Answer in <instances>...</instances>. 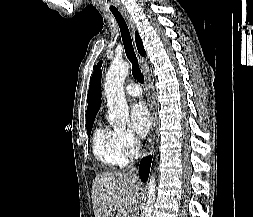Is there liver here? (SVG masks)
Wrapping results in <instances>:
<instances>
[{
    "label": "liver",
    "instance_id": "6515ba94",
    "mask_svg": "<svg viewBox=\"0 0 253 217\" xmlns=\"http://www.w3.org/2000/svg\"><path fill=\"white\" fill-rule=\"evenodd\" d=\"M140 183L124 172L98 174L92 184V204L95 217H120L132 213L138 204Z\"/></svg>",
    "mask_w": 253,
    "mask_h": 217
}]
</instances>
